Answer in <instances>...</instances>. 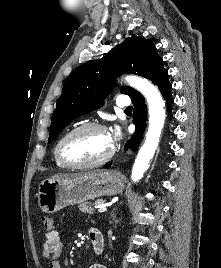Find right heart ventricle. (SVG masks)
Instances as JSON below:
<instances>
[{
    "instance_id": "right-heart-ventricle-1",
    "label": "right heart ventricle",
    "mask_w": 221,
    "mask_h": 268,
    "mask_svg": "<svg viewBox=\"0 0 221 268\" xmlns=\"http://www.w3.org/2000/svg\"><path fill=\"white\" fill-rule=\"evenodd\" d=\"M55 149H56V146H55V148H54V158H55V162H56V164L59 166V167H65L64 165H62L58 160H57V158H56V155H55Z\"/></svg>"
}]
</instances>
